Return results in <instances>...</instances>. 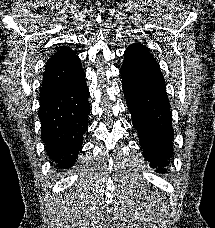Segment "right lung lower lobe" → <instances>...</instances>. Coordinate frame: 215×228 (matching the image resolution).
<instances>
[{
    "label": "right lung lower lobe",
    "mask_w": 215,
    "mask_h": 228,
    "mask_svg": "<svg viewBox=\"0 0 215 228\" xmlns=\"http://www.w3.org/2000/svg\"><path fill=\"white\" fill-rule=\"evenodd\" d=\"M85 74L66 81L58 95L40 103L41 139L56 167L66 169L75 163L82 148L90 113Z\"/></svg>",
    "instance_id": "right-lung-lower-lobe-1"
}]
</instances>
